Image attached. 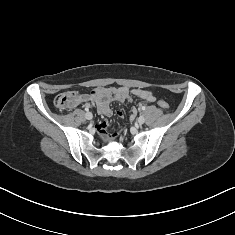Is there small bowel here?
<instances>
[{
	"instance_id": "obj_1",
	"label": "small bowel",
	"mask_w": 235,
	"mask_h": 235,
	"mask_svg": "<svg viewBox=\"0 0 235 235\" xmlns=\"http://www.w3.org/2000/svg\"><path fill=\"white\" fill-rule=\"evenodd\" d=\"M133 97H137L141 100L150 103L156 100L152 92L140 88L129 89L127 87H119V88L99 87L92 90L88 94L81 95L80 102L92 103L96 105L99 113L107 117H110L112 115V109L110 107V104L112 102H119V103L132 102ZM118 115L122 117L123 113L121 111H118ZM130 115L131 117H134L136 115L135 108L131 110ZM106 127H107V122L104 121L95 125V129L99 132H103Z\"/></svg>"
}]
</instances>
